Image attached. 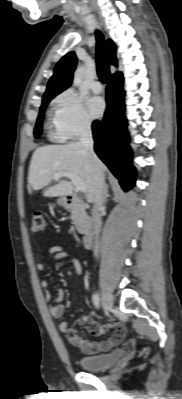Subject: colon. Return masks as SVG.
I'll return each mask as SVG.
<instances>
[{
	"instance_id": "colon-1",
	"label": "colon",
	"mask_w": 182,
	"mask_h": 399,
	"mask_svg": "<svg viewBox=\"0 0 182 399\" xmlns=\"http://www.w3.org/2000/svg\"><path fill=\"white\" fill-rule=\"evenodd\" d=\"M47 223L40 212H34L31 217L30 232L32 234H42L46 230Z\"/></svg>"
}]
</instances>
